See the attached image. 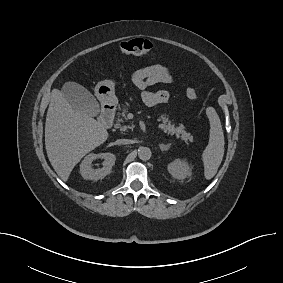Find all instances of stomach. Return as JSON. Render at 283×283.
<instances>
[{
    "label": "stomach",
    "mask_w": 283,
    "mask_h": 283,
    "mask_svg": "<svg viewBox=\"0 0 283 283\" xmlns=\"http://www.w3.org/2000/svg\"><path fill=\"white\" fill-rule=\"evenodd\" d=\"M95 95L103 105H114L117 102L115 82L113 80L100 81L95 87Z\"/></svg>",
    "instance_id": "stomach-1"
}]
</instances>
